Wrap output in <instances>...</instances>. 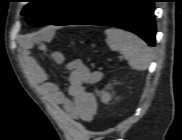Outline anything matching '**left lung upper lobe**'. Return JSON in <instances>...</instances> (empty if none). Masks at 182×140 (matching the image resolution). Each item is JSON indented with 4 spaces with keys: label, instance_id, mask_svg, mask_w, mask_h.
<instances>
[{
    "label": "left lung upper lobe",
    "instance_id": "obj_1",
    "mask_svg": "<svg viewBox=\"0 0 182 140\" xmlns=\"http://www.w3.org/2000/svg\"><path fill=\"white\" fill-rule=\"evenodd\" d=\"M102 0H30L21 11L27 22L39 27L47 24L69 25L88 12Z\"/></svg>",
    "mask_w": 182,
    "mask_h": 140
}]
</instances>
